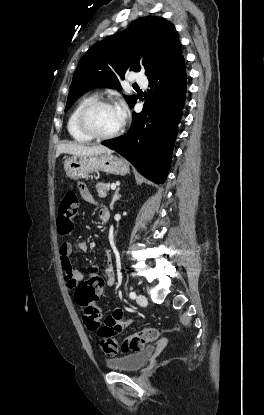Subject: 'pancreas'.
Masks as SVG:
<instances>
[{"mask_svg": "<svg viewBox=\"0 0 264 415\" xmlns=\"http://www.w3.org/2000/svg\"><path fill=\"white\" fill-rule=\"evenodd\" d=\"M109 189H110L109 183L100 182L96 184V190L100 198L106 197Z\"/></svg>", "mask_w": 264, "mask_h": 415, "instance_id": "cf45deb5", "label": "pancreas"}]
</instances>
